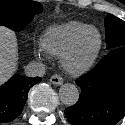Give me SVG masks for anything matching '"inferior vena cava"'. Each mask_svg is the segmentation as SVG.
Masks as SVG:
<instances>
[{
    "instance_id": "602c4592",
    "label": "inferior vena cava",
    "mask_w": 125,
    "mask_h": 125,
    "mask_svg": "<svg viewBox=\"0 0 125 125\" xmlns=\"http://www.w3.org/2000/svg\"><path fill=\"white\" fill-rule=\"evenodd\" d=\"M26 76L28 77H42L45 74V66L41 62H30L25 68Z\"/></svg>"
}]
</instances>
